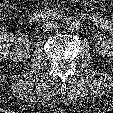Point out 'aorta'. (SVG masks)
Returning a JSON list of instances; mask_svg holds the SVG:
<instances>
[{
  "mask_svg": "<svg viewBox=\"0 0 113 113\" xmlns=\"http://www.w3.org/2000/svg\"><path fill=\"white\" fill-rule=\"evenodd\" d=\"M81 26V21L76 16H70L66 19V27L70 31L78 30Z\"/></svg>",
  "mask_w": 113,
  "mask_h": 113,
  "instance_id": "aorta-1",
  "label": "aorta"
}]
</instances>
